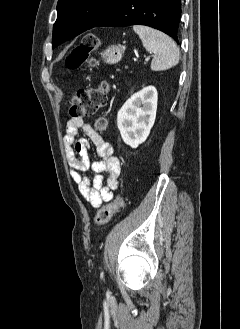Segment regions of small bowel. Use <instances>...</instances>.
Masks as SVG:
<instances>
[{
  "mask_svg": "<svg viewBox=\"0 0 240 329\" xmlns=\"http://www.w3.org/2000/svg\"><path fill=\"white\" fill-rule=\"evenodd\" d=\"M79 130L84 132L86 138H78ZM63 142L68 164L72 168L71 177L83 198L95 208L110 202L118 187L120 174L119 160L113 155L111 145L81 118H71L67 122ZM90 142L96 148V153L100 158L98 162H92L90 159ZM89 169L105 172L106 177L98 174L90 180L84 174Z\"/></svg>",
  "mask_w": 240,
  "mask_h": 329,
  "instance_id": "obj_1",
  "label": "small bowel"
}]
</instances>
